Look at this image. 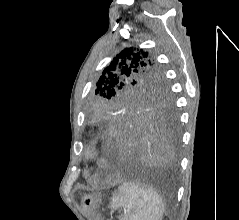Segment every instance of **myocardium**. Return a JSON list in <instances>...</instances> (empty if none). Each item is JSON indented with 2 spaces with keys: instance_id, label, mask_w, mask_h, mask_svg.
Returning <instances> with one entry per match:
<instances>
[{
  "instance_id": "f54148a6",
  "label": "myocardium",
  "mask_w": 239,
  "mask_h": 220,
  "mask_svg": "<svg viewBox=\"0 0 239 220\" xmlns=\"http://www.w3.org/2000/svg\"><path fill=\"white\" fill-rule=\"evenodd\" d=\"M98 153H99V147L97 143H92L86 152V157L94 158L98 155Z\"/></svg>"
}]
</instances>
